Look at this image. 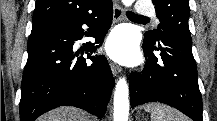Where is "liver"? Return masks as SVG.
I'll return each instance as SVG.
<instances>
[{
	"mask_svg": "<svg viewBox=\"0 0 217 121\" xmlns=\"http://www.w3.org/2000/svg\"><path fill=\"white\" fill-rule=\"evenodd\" d=\"M38 121H89L87 114L76 107H59L38 118Z\"/></svg>",
	"mask_w": 217,
	"mask_h": 121,
	"instance_id": "liver-1",
	"label": "liver"
}]
</instances>
